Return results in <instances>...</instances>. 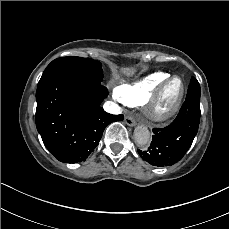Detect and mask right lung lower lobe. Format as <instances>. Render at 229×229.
I'll list each match as a JSON object with an SVG mask.
<instances>
[{
  "label": "right lung lower lobe",
  "mask_w": 229,
  "mask_h": 229,
  "mask_svg": "<svg viewBox=\"0 0 229 229\" xmlns=\"http://www.w3.org/2000/svg\"><path fill=\"white\" fill-rule=\"evenodd\" d=\"M106 96L101 81L77 74L59 75L37 87L36 127L45 147L59 161L85 160L105 127L123 119L100 107Z\"/></svg>",
  "instance_id": "obj_1"
}]
</instances>
